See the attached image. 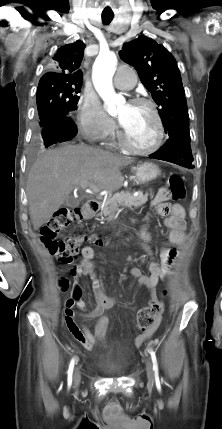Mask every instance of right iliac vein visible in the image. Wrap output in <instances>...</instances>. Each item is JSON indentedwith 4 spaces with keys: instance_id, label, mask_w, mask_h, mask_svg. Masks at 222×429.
I'll return each mask as SVG.
<instances>
[{
    "instance_id": "1",
    "label": "right iliac vein",
    "mask_w": 222,
    "mask_h": 429,
    "mask_svg": "<svg viewBox=\"0 0 222 429\" xmlns=\"http://www.w3.org/2000/svg\"><path fill=\"white\" fill-rule=\"evenodd\" d=\"M80 381H81V375H80L79 368L77 367L74 372V386L78 387L80 384Z\"/></svg>"
}]
</instances>
